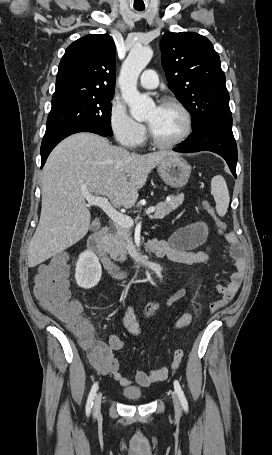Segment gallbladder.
Segmentation results:
<instances>
[{
	"instance_id": "bac80fb5",
	"label": "gallbladder",
	"mask_w": 272,
	"mask_h": 455,
	"mask_svg": "<svg viewBox=\"0 0 272 455\" xmlns=\"http://www.w3.org/2000/svg\"><path fill=\"white\" fill-rule=\"evenodd\" d=\"M100 228V224L98 222L94 223L91 227L92 231H97Z\"/></svg>"
}]
</instances>
